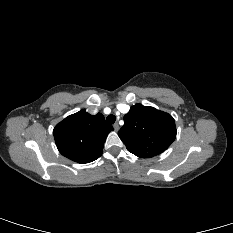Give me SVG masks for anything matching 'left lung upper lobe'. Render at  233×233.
<instances>
[{
	"label": "left lung upper lobe",
	"mask_w": 233,
	"mask_h": 233,
	"mask_svg": "<svg viewBox=\"0 0 233 233\" xmlns=\"http://www.w3.org/2000/svg\"><path fill=\"white\" fill-rule=\"evenodd\" d=\"M118 135L129 152L150 158L171 145L176 137V126L168 113L136 104L124 116V125Z\"/></svg>",
	"instance_id": "1"
}]
</instances>
